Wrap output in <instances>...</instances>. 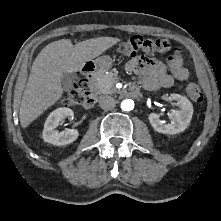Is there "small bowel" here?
Here are the masks:
<instances>
[{
  "label": "small bowel",
  "mask_w": 221,
  "mask_h": 221,
  "mask_svg": "<svg viewBox=\"0 0 221 221\" xmlns=\"http://www.w3.org/2000/svg\"><path fill=\"white\" fill-rule=\"evenodd\" d=\"M162 41L165 43V47H146L143 51L148 54L165 52L164 56L168 60L167 65L145 56L133 58L126 64V71L138 75L142 86L147 90L167 88L172 86L175 81H184L189 76V71L181 59V52L169 48L168 43Z\"/></svg>",
  "instance_id": "obj_1"
}]
</instances>
